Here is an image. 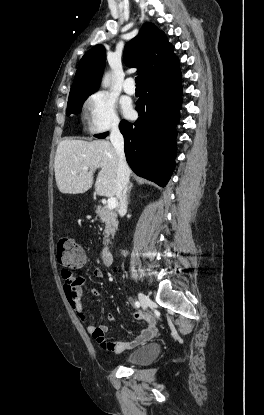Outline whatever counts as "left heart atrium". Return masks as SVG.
Instances as JSON below:
<instances>
[{"mask_svg": "<svg viewBox=\"0 0 264 415\" xmlns=\"http://www.w3.org/2000/svg\"><path fill=\"white\" fill-rule=\"evenodd\" d=\"M123 109H124V112H125L126 114H129V113L131 112V108H130V106H129L128 104H125V105L123 106Z\"/></svg>", "mask_w": 264, "mask_h": 415, "instance_id": "1", "label": "left heart atrium"}]
</instances>
